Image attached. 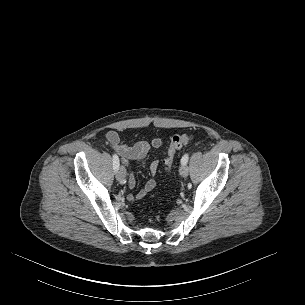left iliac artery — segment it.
Instances as JSON below:
<instances>
[{"mask_svg":"<svg viewBox=\"0 0 305 305\" xmlns=\"http://www.w3.org/2000/svg\"><path fill=\"white\" fill-rule=\"evenodd\" d=\"M188 159H189V155L185 154L181 159V164H187Z\"/></svg>","mask_w":305,"mask_h":305,"instance_id":"left-iliac-artery-1","label":"left iliac artery"}]
</instances>
